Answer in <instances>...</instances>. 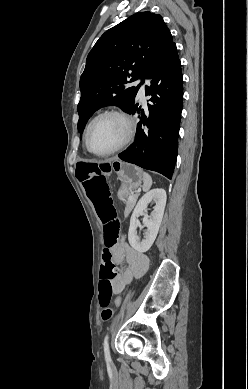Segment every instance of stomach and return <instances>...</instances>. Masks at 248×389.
Segmentation results:
<instances>
[{"label":"stomach","mask_w":248,"mask_h":389,"mask_svg":"<svg viewBox=\"0 0 248 389\" xmlns=\"http://www.w3.org/2000/svg\"><path fill=\"white\" fill-rule=\"evenodd\" d=\"M112 170L116 171L120 181L118 197L124 199L127 194L141 186L143 181L142 170L132 164L117 162L112 165Z\"/></svg>","instance_id":"stomach-1"}]
</instances>
